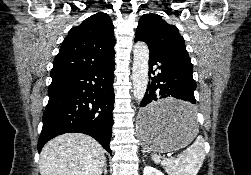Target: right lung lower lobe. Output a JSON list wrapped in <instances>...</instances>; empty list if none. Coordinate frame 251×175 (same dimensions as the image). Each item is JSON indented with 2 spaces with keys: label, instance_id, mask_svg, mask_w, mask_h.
Returning a JSON list of instances; mask_svg holds the SVG:
<instances>
[{
  "label": "right lung lower lobe",
  "instance_id": "98d812e1",
  "mask_svg": "<svg viewBox=\"0 0 251 175\" xmlns=\"http://www.w3.org/2000/svg\"><path fill=\"white\" fill-rule=\"evenodd\" d=\"M114 60L106 66L52 77L38 151L57 135L78 132L95 138L111 152L114 108Z\"/></svg>",
  "mask_w": 251,
  "mask_h": 175
}]
</instances>
